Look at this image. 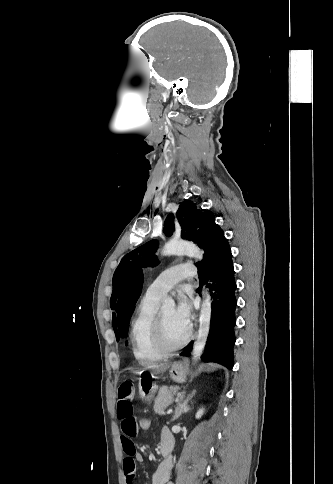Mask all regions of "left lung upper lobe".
<instances>
[{
    "label": "left lung upper lobe",
    "instance_id": "obj_1",
    "mask_svg": "<svg viewBox=\"0 0 333 484\" xmlns=\"http://www.w3.org/2000/svg\"><path fill=\"white\" fill-rule=\"evenodd\" d=\"M176 218L181 226V237L193 241L202 248L206 237L207 226L209 222L215 219L214 214L209 210L198 208L192 201L188 200L180 204ZM173 231L174 215L169 214L165 220L164 233L167 236H171ZM157 246V241L151 240L122 258L113 275V292L110 301L112 309L115 307L117 296L128 273L136 266L146 267L156 264L157 258L155 252ZM112 322L116 338L119 340L115 314H113Z\"/></svg>",
    "mask_w": 333,
    "mask_h": 484
}]
</instances>
